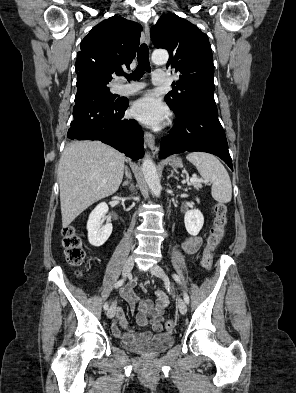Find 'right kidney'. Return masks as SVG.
<instances>
[{"instance_id": "1", "label": "right kidney", "mask_w": 296, "mask_h": 393, "mask_svg": "<svg viewBox=\"0 0 296 393\" xmlns=\"http://www.w3.org/2000/svg\"><path fill=\"white\" fill-rule=\"evenodd\" d=\"M107 212L108 205L102 202L98 204L89 215L87 222L88 241L95 247L102 246L112 233L113 227L110 222H106L105 225H102L106 219L105 215Z\"/></svg>"}]
</instances>
